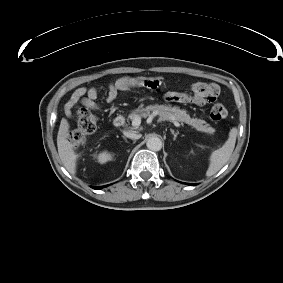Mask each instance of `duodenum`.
<instances>
[{
    "instance_id": "410a0bca",
    "label": "duodenum",
    "mask_w": 283,
    "mask_h": 283,
    "mask_svg": "<svg viewBox=\"0 0 283 283\" xmlns=\"http://www.w3.org/2000/svg\"><path fill=\"white\" fill-rule=\"evenodd\" d=\"M125 123V118L123 115H117L113 119V126L120 127Z\"/></svg>"
}]
</instances>
